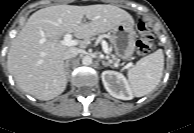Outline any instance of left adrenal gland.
Segmentation results:
<instances>
[{
  "instance_id": "obj_1",
  "label": "left adrenal gland",
  "mask_w": 194,
  "mask_h": 133,
  "mask_svg": "<svg viewBox=\"0 0 194 133\" xmlns=\"http://www.w3.org/2000/svg\"><path fill=\"white\" fill-rule=\"evenodd\" d=\"M102 64H103V66H105V67L109 66V67L113 68V66H112L109 62H107V61H105V60H102Z\"/></svg>"
}]
</instances>
